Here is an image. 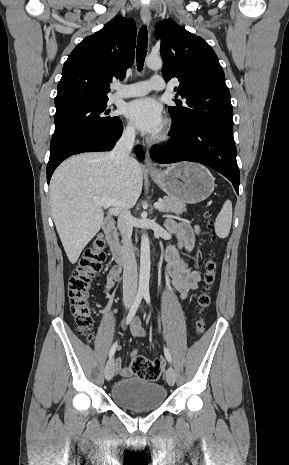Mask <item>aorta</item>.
I'll use <instances>...</instances> for the list:
<instances>
[{"mask_svg": "<svg viewBox=\"0 0 289 465\" xmlns=\"http://www.w3.org/2000/svg\"><path fill=\"white\" fill-rule=\"evenodd\" d=\"M145 63L147 67L153 70H160L163 62L158 55H149ZM150 279V243L146 233L141 237V255H140V274H139V290H149Z\"/></svg>", "mask_w": 289, "mask_h": 465, "instance_id": "762f6f07", "label": "aorta"}]
</instances>
